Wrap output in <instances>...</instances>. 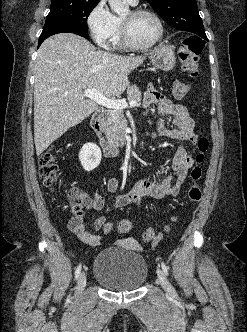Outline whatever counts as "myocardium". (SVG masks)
<instances>
[{"mask_svg": "<svg viewBox=\"0 0 247 332\" xmlns=\"http://www.w3.org/2000/svg\"><path fill=\"white\" fill-rule=\"evenodd\" d=\"M131 14L134 16H138V15L152 16L156 20V22L159 26V35L154 41H152L149 44H145V45L137 44L133 41V39L130 35L129 26H128L127 22L124 21L123 19H121L122 41L128 48H130L132 50H136V51H145V50L151 49L152 47L157 45L164 38L165 27H164L162 19L156 12L149 10V9H144V8H133L131 10Z\"/></svg>", "mask_w": 247, "mask_h": 332, "instance_id": "obj_1", "label": "myocardium"}]
</instances>
